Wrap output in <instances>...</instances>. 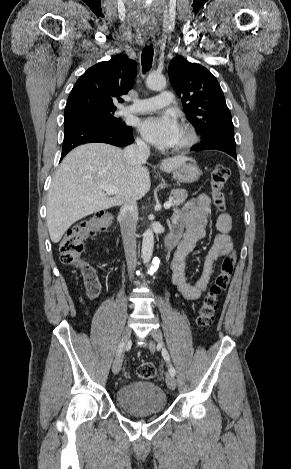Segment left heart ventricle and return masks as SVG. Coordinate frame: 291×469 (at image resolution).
Returning a JSON list of instances; mask_svg holds the SVG:
<instances>
[{
    "instance_id": "obj_1",
    "label": "left heart ventricle",
    "mask_w": 291,
    "mask_h": 469,
    "mask_svg": "<svg viewBox=\"0 0 291 469\" xmlns=\"http://www.w3.org/2000/svg\"><path fill=\"white\" fill-rule=\"evenodd\" d=\"M185 138H186V136H185L184 132L181 130V131H180V134H179V137H178V139H177V142H176V144L174 145V147L177 146V145H179V144H181V143L185 140Z\"/></svg>"
}]
</instances>
